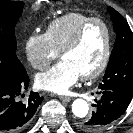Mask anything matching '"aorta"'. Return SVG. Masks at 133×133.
<instances>
[{
  "instance_id": "aorta-1",
  "label": "aorta",
  "mask_w": 133,
  "mask_h": 133,
  "mask_svg": "<svg viewBox=\"0 0 133 133\" xmlns=\"http://www.w3.org/2000/svg\"><path fill=\"white\" fill-rule=\"evenodd\" d=\"M89 111L88 103L83 99H76L72 104V112L77 118H84Z\"/></svg>"
}]
</instances>
